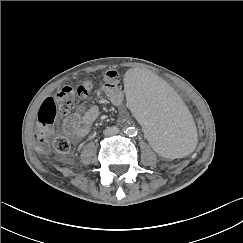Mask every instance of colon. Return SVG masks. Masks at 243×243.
Segmentation results:
<instances>
[{"label": "colon", "instance_id": "5ec220e1", "mask_svg": "<svg viewBox=\"0 0 243 243\" xmlns=\"http://www.w3.org/2000/svg\"><path fill=\"white\" fill-rule=\"evenodd\" d=\"M92 84L88 81L73 87H64L58 90L53 97L47 98L42 103L38 113V124L34 131V146L36 150L44 152L48 149L49 139L54 135V122L59 113H67L75 100L85 99L92 92ZM194 119L197 146L195 151L200 153L204 148L205 127L200 111L192 106L189 109ZM53 148L59 153H67L70 150V141L65 136H55L52 139Z\"/></svg>", "mask_w": 243, "mask_h": 243}]
</instances>
